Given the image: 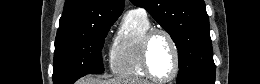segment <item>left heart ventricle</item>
I'll use <instances>...</instances> for the list:
<instances>
[{
    "instance_id": "1",
    "label": "left heart ventricle",
    "mask_w": 260,
    "mask_h": 84,
    "mask_svg": "<svg viewBox=\"0 0 260 84\" xmlns=\"http://www.w3.org/2000/svg\"><path fill=\"white\" fill-rule=\"evenodd\" d=\"M150 67L159 78H168L174 70V53L169 40L159 34L154 37L150 46Z\"/></svg>"
}]
</instances>
